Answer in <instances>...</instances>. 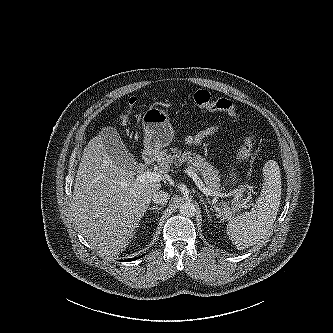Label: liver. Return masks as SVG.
Segmentation results:
<instances>
[{"label":"liver","instance_id":"obj_1","mask_svg":"<svg viewBox=\"0 0 333 333\" xmlns=\"http://www.w3.org/2000/svg\"><path fill=\"white\" fill-rule=\"evenodd\" d=\"M161 184L140 182L107 154L103 138H92L76 174L72 210L75 225L102 256L124 251L152 194Z\"/></svg>","mask_w":333,"mask_h":333}]
</instances>
